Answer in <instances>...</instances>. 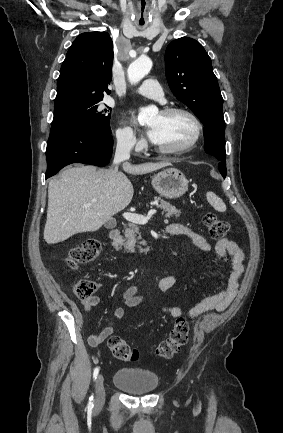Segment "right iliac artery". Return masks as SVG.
Segmentation results:
<instances>
[{
  "label": "right iliac artery",
  "instance_id": "obj_1",
  "mask_svg": "<svg viewBox=\"0 0 283 433\" xmlns=\"http://www.w3.org/2000/svg\"><path fill=\"white\" fill-rule=\"evenodd\" d=\"M98 373H99V367H96L95 370H94V372H93V378H94V379L97 378ZM93 406H94V405H93V395H92V396L89 398V403H88V405H87V408H88L89 410H92Z\"/></svg>",
  "mask_w": 283,
  "mask_h": 433
}]
</instances>
